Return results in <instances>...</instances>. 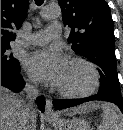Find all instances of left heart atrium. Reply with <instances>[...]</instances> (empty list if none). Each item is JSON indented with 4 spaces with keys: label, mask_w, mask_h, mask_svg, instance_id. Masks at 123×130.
<instances>
[{
    "label": "left heart atrium",
    "mask_w": 123,
    "mask_h": 130,
    "mask_svg": "<svg viewBox=\"0 0 123 130\" xmlns=\"http://www.w3.org/2000/svg\"><path fill=\"white\" fill-rule=\"evenodd\" d=\"M67 60L57 47H47L30 53L25 66L35 80L57 86L66 67Z\"/></svg>",
    "instance_id": "obj_1"
}]
</instances>
